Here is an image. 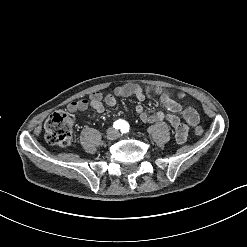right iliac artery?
<instances>
[{
	"mask_svg": "<svg viewBox=\"0 0 247 247\" xmlns=\"http://www.w3.org/2000/svg\"><path fill=\"white\" fill-rule=\"evenodd\" d=\"M121 126H122V120H117V121H115L114 124H113V127H114L115 129H120Z\"/></svg>",
	"mask_w": 247,
	"mask_h": 247,
	"instance_id": "82829eb1",
	"label": "right iliac artery"
}]
</instances>
